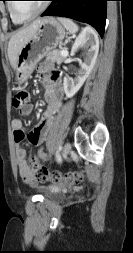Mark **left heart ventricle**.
<instances>
[{
  "label": "left heart ventricle",
  "instance_id": "obj_1",
  "mask_svg": "<svg viewBox=\"0 0 133 253\" xmlns=\"http://www.w3.org/2000/svg\"><path fill=\"white\" fill-rule=\"evenodd\" d=\"M43 1H15L13 8L20 18L33 15L43 5Z\"/></svg>",
  "mask_w": 133,
  "mask_h": 253
}]
</instances>
